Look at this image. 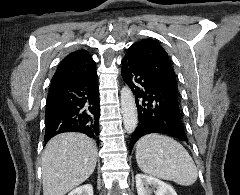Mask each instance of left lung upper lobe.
Segmentation results:
<instances>
[{
	"mask_svg": "<svg viewBox=\"0 0 240 195\" xmlns=\"http://www.w3.org/2000/svg\"><path fill=\"white\" fill-rule=\"evenodd\" d=\"M126 57L147 67L152 73L176 87V75L166 51L152 39L141 40L127 50Z\"/></svg>",
	"mask_w": 240,
	"mask_h": 195,
	"instance_id": "5c2ea615",
	"label": "left lung upper lobe"
}]
</instances>
